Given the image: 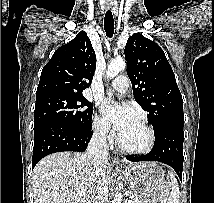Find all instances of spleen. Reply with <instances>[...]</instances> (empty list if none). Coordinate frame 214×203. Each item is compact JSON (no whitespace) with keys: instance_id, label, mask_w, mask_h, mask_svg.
Segmentation results:
<instances>
[{"instance_id":"1","label":"spleen","mask_w":214,"mask_h":203,"mask_svg":"<svg viewBox=\"0 0 214 203\" xmlns=\"http://www.w3.org/2000/svg\"><path fill=\"white\" fill-rule=\"evenodd\" d=\"M168 173L171 175V179H172V187H171L168 203H179L180 191L178 187V182L171 172H168Z\"/></svg>"}]
</instances>
